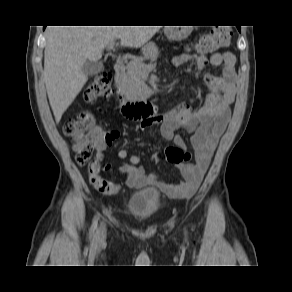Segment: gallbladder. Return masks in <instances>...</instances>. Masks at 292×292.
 Here are the masks:
<instances>
[{
	"mask_svg": "<svg viewBox=\"0 0 292 292\" xmlns=\"http://www.w3.org/2000/svg\"><path fill=\"white\" fill-rule=\"evenodd\" d=\"M103 68L104 67L102 63L87 60L82 67V71L87 76H93L100 73Z\"/></svg>",
	"mask_w": 292,
	"mask_h": 292,
	"instance_id": "1",
	"label": "gallbladder"
}]
</instances>
